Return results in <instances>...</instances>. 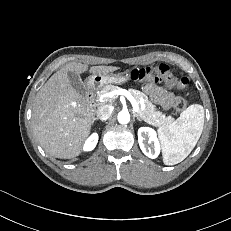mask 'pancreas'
I'll list each match as a JSON object with an SVG mask.
<instances>
[{
	"label": "pancreas",
	"instance_id": "cf45deb5",
	"mask_svg": "<svg viewBox=\"0 0 231 231\" xmlns=\"http://www.w3.org/2000/svg\"><path fill=\"white\" fill-rule=\"evenodd\" d=\"M119 89L121 88L118 86L106 85L100 90L98 96ZM128 91L136 99L139 106L141 104L144 105V109L139 108L138 112V116L142 120L156 127L167 126L174 123V118L172 116H165L162 112L156 111L155 106L148 100V97L143 92L135 89H129ZM107 101L112 102V99H108Z\"/></svg>",
	"mask_w": 231,
	"mask_h": 231
}]
</instances>
